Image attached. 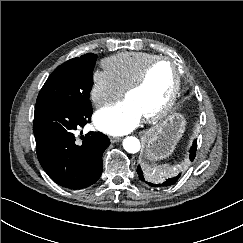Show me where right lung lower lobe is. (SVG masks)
<instances>
[{
	"label": "right lung lower lobe",
	"mask_w": 243,
	"mask_h": 243,
	"mask_svg": "<svg viewBox=\"0 0 243 243\" xmlns=\"http://www.w3.org/2000/svg\"><path fill=\"white\" fill-rule=\"evenodd\" d=\"M92 113V108L74 111L47 104L35 106L33 131L38 160L48 176L63 187L82 189L101 176L102 154L110 139L100 132L78 135Z\"/></svg>",
	"instance_id": "98d812e1"
}]
</instances>
